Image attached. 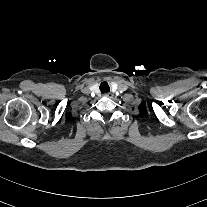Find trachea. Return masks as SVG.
<instances>
[{
	"label": "trachea",
	"mask_w": 207,
	"mask_h": 207,
	"mask_svg": "<svg viewBox=\"0 0 207 207\" xmlns=\"http://www.w3.org/2000/svg\"><path fill=\"white\" fill-rule=\"evenodd\" d=\"M100 91H101L102 93H105V92H109V91H110V87H109V85H108L107 82H102V83L100 84Z\"/></svg>",
	"instance_id": "3493384b"
}]
</instances>
